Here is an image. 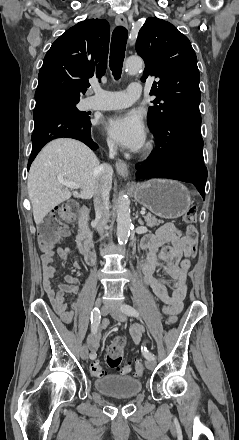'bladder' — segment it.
I'll use <instances>...</instances> for the list:
<instances>
[{
    "label": "bladder",
    "mask_w": 239,
    "mask_h": 440,
    "mask_svg": "<svg viewBox=\"0 0 239 440\" xmlns=\"http://www.w3.org/2000/svg\"><path fill=\"white\" fill-rule=\"evenodd\" d=\"M94 387L105 396L123 399L137 396L142 391V382L128 375H109L95 379Z\"/></svg>",
    "instance_id": "bladder-1"
}]
</instances>
